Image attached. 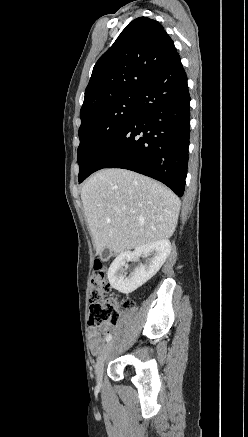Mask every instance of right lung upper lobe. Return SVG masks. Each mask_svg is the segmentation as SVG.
I'll list each match as a JSON object with an SVG mask.
<instances>
[{
    "mask_svg": "<svg viewBox=\"0 0 248 437\" xmlns=\"http://www.w3.org/2000/svg\"><path fill=\"white\" fill-rule=\"evenodd\" d=\"M177 55L160 23L148 17L130 22L95 64L85 90L81 120L118 98L137 95Z\"/></svg>",
    "mask_w": 248,
    "mask_h": 437,
    "instance_id": "right-lung-upper-lobe-1",
    "label": "right lung upper lobe"
}]
</instances>
